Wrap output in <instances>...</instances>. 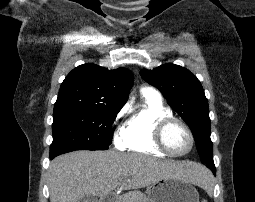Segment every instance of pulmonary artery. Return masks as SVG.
<instances>
[{
  "mask_svg": "<svg viewBox=\"0 0 255 202\" xmlns=\"http://www.w3.org/2000/svg\"><path fill=\"white\" fill-rule=\"evenodd\" d=\"M141 93H142V95H145V96H153L156 98H160V94L155 89H153L151 87L142 88Z\"/></svg>",
  "mask_w": 255,
  "mask_h": 202,
  "instance_id": "1",
  "label": "pulmonary artery"
}]
</instances>
